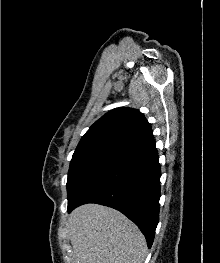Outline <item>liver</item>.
<instances>
[{"mask_svg": "<svg viewBox=\"0 0 220 263\" xmlns=\"http://www.w3.org/2000/svg\"><path fill=\"white\" fill-rule=\"evenodd\" d=\"M73 263H142L147 250L139 228L121 212L98 204L68 218Z\"/></svg>", "mask_w": 220, "mask_h": 263, "instance_id": "6515ba94", "label": "liver"}]
</instances>
